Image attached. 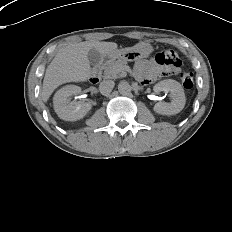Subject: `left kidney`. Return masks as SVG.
<instances>
[{
  "label": "left kidney",
  "mask_w": 232,
  "mask_h": 232,
  "mask_svg": "<svg viewBox=\"0 0 232 232\" xmlns=\"http://www.w3.org/2000/svg\"><path fill=\"white\" fill-rule=\"evenodd\" d=\"M153 90L155 93L170 92L171 102H158L154 106V111L161 115L178 114L185 106L186 97L181 84L172 79H166L158 82Z\"/></svg>",
  "instance_id": "obj_1"
}]
</instances>
